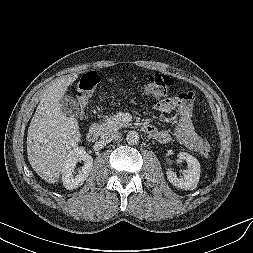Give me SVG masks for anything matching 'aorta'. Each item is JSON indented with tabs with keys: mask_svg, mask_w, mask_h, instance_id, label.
<instances>
[{
	"mask_svg": "<svg viewBox=\"0 0 253 253\" xmlns=\"http://www.w3.org/2000/svg\"><path fill=\"white\" fill-rule=\"evenodd\" d=\"M139 134L136 131H130L126 135V140L128 144L135 145L139 142Z\"/></svg>",
	"mask_w": 253,
	"mask_h": 253,
	"instance_id": "762f6f07",
	"label": "aorta"
}]
</instances>
